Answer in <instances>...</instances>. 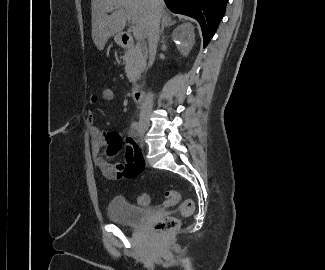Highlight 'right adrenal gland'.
I'll list each match as a JSON object with an SVG mask.
<instances>
[{"label":"right adrenal gland","instance_id":"1","mask_svg":"<svg viewBox=\"0 0 325 270\" xmlns=\"http://www.w3.org/2000/svg\"><path fill=\"white\" fill-rule=\"evenodd\" d=\"M175 23H176V21L175 20H172L171 17H168L166 15H163V17H162V23H161L160 35L163 34L165 27L171 26V25H173Z\"/></svg>","mask_w":325,"mask_h":270}]
</instances>
